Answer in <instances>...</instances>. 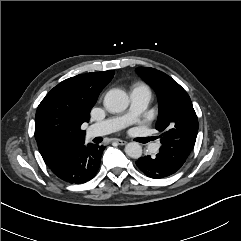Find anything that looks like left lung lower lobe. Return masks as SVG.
I'll return each mask as SVG.
<instances>
[{
    "instance_id": "1",
    "label": "left lung lower lobe",
    "mask_w": 241,
    "mask_h": 241,
    "mask_svg": "<svg viewBox=\"0 0 241 241\" xmlns=\"http://www.w3.org/2000/svg\"><path fill=\"white\" fill-rule=\"evenodd\" d=\"M136 165L146 176L154 179L168 177L181 168L168 162L159 154L140 157L136 161Z\"/></svg>"
}]
</instances>
